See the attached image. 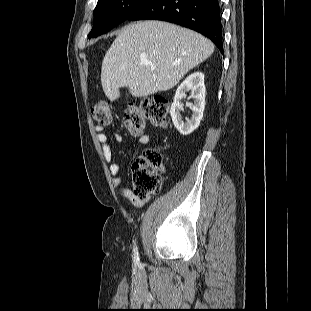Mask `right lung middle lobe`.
Instances as JSON below:
<instances>
[{
    "label": "right lung middle lobe",
    "mask_w": 311,
    "mask_h": 311,
    "mask_svg": "<svg viewBox=\"0 0 311 311\" xmlns=\"http://www.w3.org/2000/svg\"><path fill=\"white\" fill-rule=\"evenodd\" d=\"M154 0H98L88 38L108 32Z\"/></svg>",
    "instance_id": "right-lung-middle-lobe-1"
}]
</instances>
